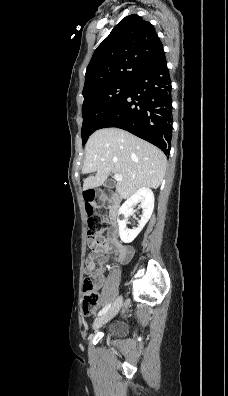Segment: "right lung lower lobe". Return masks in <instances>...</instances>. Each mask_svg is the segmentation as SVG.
Returning <instances> with one entry per match:
<instances>
[{
    "mask_svg": "<svg viewBox=\"0 0 228 396\" xmlns=\"http://www.w3.org/2000/svg\"><path fill=\"white\" fill-rule=\"evenodd\" d=\"M171 80L163 47L131 82L120 104L101 128L117 127L170 153L172 136Z\"/></svg>",
    "mask_w": 228,
    "mask_h": 396,
    "instance_id": "obj_1",
    "label": "right lung lower lobe"
}]
</instances>
